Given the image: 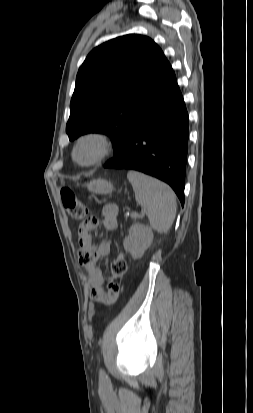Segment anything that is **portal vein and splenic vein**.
<instances>
[{
  "mask_svg": "<svg viewBox=\"0 0 253 413\" xmlns=\"http://www.w3.org/2000/svg\"><path fill=\"white\" fill-rule=\"evenodd\" d=\"M132 215H133V216H137V214H136V213H133Z\"/></svg>",
  "mask_w": 253,
  "mask_h": 413,
  "instance_id": "obj_1",
  "label": "portal vein and splenic vein"
}]
</instances>
